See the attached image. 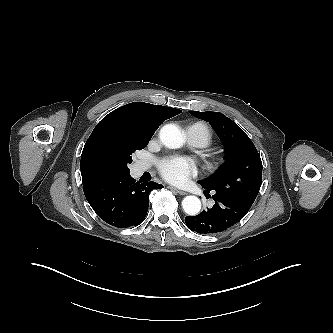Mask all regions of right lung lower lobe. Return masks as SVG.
Segmentation results:
<instances>
[{"label": "right lung lower lobe", "instance_id": "98d812e1", "mask_svg": "<svg viewBox=\"0 0 333 333\" xmlns=\"http://www.w3.org/2000/svg\"><path fill=\"white\" fill-rule=\"evenodd\" d=\"M161 188L163 185L152 181L140 184L130 174L106 175L83 185L85 197L96 214L106 223L122 228L144 220L149 193Z\"/></svg>", "mask_w": 333, "mask_h": 333}]
</instances>
